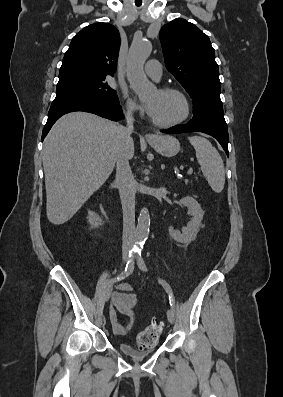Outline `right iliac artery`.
<instances>
[{
	"instance_id": "obj_1",
	"label": "right iliac artery",
	"mask_w": 283,
	"mask_h": 397,
	"mask_svg": "<svg viewBox=\"0 0 283 397\" xmlns=\"http://www.w3.org/2000/svg\"><path fill=\"white\" fill-rule=\"evenodd\" d=\"M135 252H136L135 250H131L129 252L128 261H127V264H126V267H125L124 271L121 272V274L118 275L117 277H114V278L110 279L109 283H116L118 281H121V280L125 279L127 276H129L133 272V270H134L133 257H134Z\"/></svg>"
}]
</instances>
